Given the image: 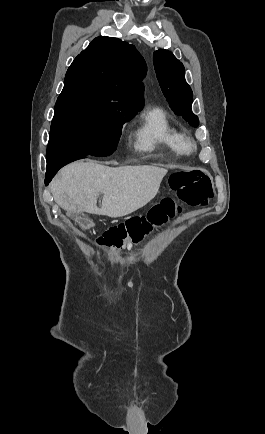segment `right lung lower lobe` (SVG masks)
<instances>
[{
  "label": "right lung lower lobe",
  "mask_w": 265,
  "mask_h": 434,
  "mask_svg": "<svg viewBox=\"0 0 265 434\" xmlns=\"http://www.w3.org/2000/svg\"><path fill=\"white\" fill-rule=\"evenodd\" d=\"M86 157H90V156H79V157H71V158H64V159H59V160H55L52 162H48L47 163V172L45 175V185H48V183L51 181V179L54 177V175L56 174V172L62 168L63 166H65L66 164L73 162L75 160L78 159H82V158H86Z\"/></svg>",
  "instance_id": "1"
}]
</instances>
